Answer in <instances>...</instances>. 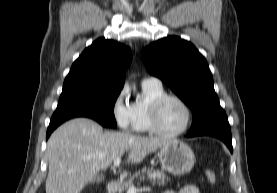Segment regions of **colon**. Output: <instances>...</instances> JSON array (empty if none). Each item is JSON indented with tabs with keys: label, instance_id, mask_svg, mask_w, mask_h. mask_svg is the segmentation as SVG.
<instances>
[{
	"label": "colon",
	"instance_id": "1",
	"mask_svg": "<svg viewBox=\"0 0 277 193\" xmlns=\"http://www.w3.org/2000/svg\"><path fill=\"white\" fill-rule=\"evenodd\" d=\"M205 177L209 184L214 185L217 182V175L213 170H206Z\"/></svg>",
	"mask_w": 277,
	"mask_h": 193
}]
</instances>
